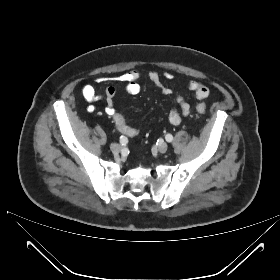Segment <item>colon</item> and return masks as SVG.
Instances as JSON below:
<instances>
[{"label":"colon","mask_w":280,"mask_h":280,"mask_svg":"<svg viewBox=\"0 0 280 280\" xmlns=\"http://www.w3.org/2000/svg\"><path fill=\"white\" fill-rule=\"evenodd\" d=\"M206 111V107L204 105H197L196 106V112L199 114H202Z\"/></svg>","instance_id":"5ec220e1"}]
</instances>
